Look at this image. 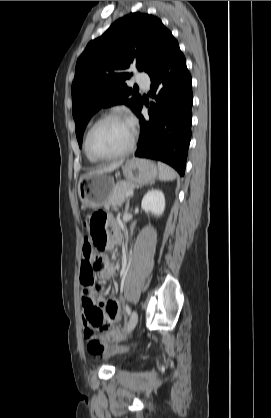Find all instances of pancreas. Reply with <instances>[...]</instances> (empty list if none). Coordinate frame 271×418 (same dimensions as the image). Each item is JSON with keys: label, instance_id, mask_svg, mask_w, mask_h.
Returning <instances> with one entry per match:
<instances>
[{"label": "pancreas", "instance_id": "pancreas-1", "mask_svg": "<svg viewBox=\"0 0 271 418\" xmlns=\"http://www.w3.org/2000/svg\"><path fill=\"white\" fill-rule=\"evenodd\" d=\"M135 185L126 181H119L113 187L112 193L105 203V208L109 209L111 206L116 207L122 205V203L128 198L126 193L133 190Z\"/></svg>", "mask_w": 271, "mask_h": 418}]
</instances>
